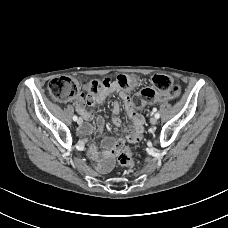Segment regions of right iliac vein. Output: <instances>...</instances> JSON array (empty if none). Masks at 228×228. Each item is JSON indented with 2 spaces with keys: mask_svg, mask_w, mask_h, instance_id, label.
<instances>
[{
  "mask_svg": "<svg viewBox=\"0 0 228 228\" xmlns=\"http://www.w3.org/2000/svg\"><path fill=\"white\" fill-rule=\"evenodd\" d=\"M77 123H78L79 125H81V124L83 123L82 118L77 119Z\"/></svg>",
  "mask_w": 228,
  "mask_h": 228,
  "instance_id": "63e3f726",
  "label": "right iliac vein"
}]
</instances>
